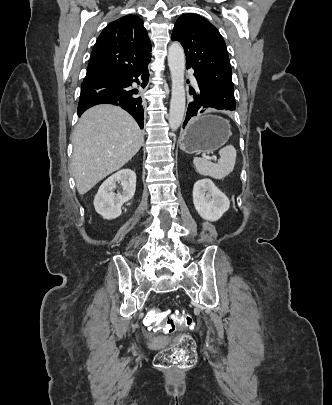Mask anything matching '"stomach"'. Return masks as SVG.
<instances>
[{
  "instance_id": "obj_1",
  "label": "stomach",
  "mask_w": 332,
  "mask_h": 405,
  "mask_svg": "<svg viewBox=\"0 0 332 405\" xmlns=\"http://www.w3.org/2000/svg\"><path fill=\"white\" fill-rule=\"evenodd\" d=\"M230 135L225 119L205 113L190 121L180 138V148L186 153H212L226 144Z\"/></svg>"
}]
</instances>
